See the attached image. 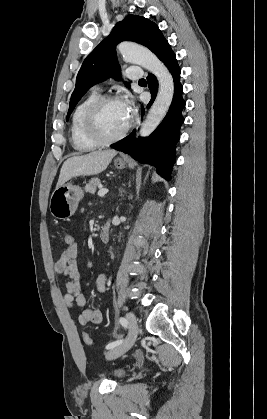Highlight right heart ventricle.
Masks as SVG:
<instances>
[{
    "label": "right heart ventricle",
    "mask_w": 267,
    "mask_h": 419,
    "mask_svg": "<svg viewBox=\"0 0 267 419\" xmlns=\"http://www.w3.org/2000/svg\"><path fill=\"white\" fill-rule=\"evenodd\" d=\"M100 97L99 93L92 91L74 109L71 117V142L73 148L81 153L93 151L100 145L90 140L83 128V119L89 105Z\"/></svg>",
    "instance_id": "1"
}]
</instances>
